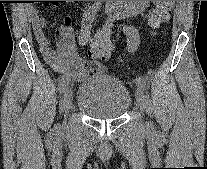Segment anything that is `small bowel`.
Returning <instances> with one entry per match:
<instances>
[{
    "label": "small bowel",
    "instance_id": "1",
    "mask_svg": "<svg viewBox=\"0 0 207 169\" xmlns=\"http://www.w3.org/2000/svg\"><path fill=\"white\" fill-rule=\"evenodd\" d=\"M147 3L148 1H111L107 7V13L110 20L118 19L136 14L144 9ZM29 18L40 52L44 60L56 72L67 76L69 79L80 80L103 70V65L100 62L95 60L83 61L79 58L74 42L70 16L63 17L57 27V43L55 48L50 45L44 30L47 20L41 17L35 10L29 12ZM103 30L109 32L108 28Z\"/></svg>",
    "mask_w": 207,
    "mask_h": 169
}]
</instances>
